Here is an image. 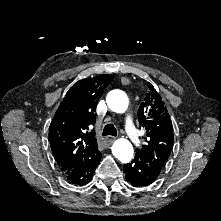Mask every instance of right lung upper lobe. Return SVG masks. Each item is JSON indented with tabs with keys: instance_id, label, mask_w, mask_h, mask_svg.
<instances>
[{
	"instance_id": "obj_1",
	"label": "right lung upper lobe",
	"mask_w": 221,
	"mask_h": 221,
	"mask_svg": "<svg viewBox=\"0 0 221 221\" xmlns=\"http://www.w3.org/2000/svg\"><path fill=\"white\" fill-rule=\"evenodd\" d=\"M112 75L103 74L76 82L66 93L49 129V141L57 164L66 173L97 148L95 111Z\"/></svg>"
}]
</instances>
